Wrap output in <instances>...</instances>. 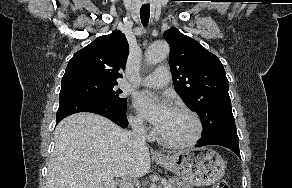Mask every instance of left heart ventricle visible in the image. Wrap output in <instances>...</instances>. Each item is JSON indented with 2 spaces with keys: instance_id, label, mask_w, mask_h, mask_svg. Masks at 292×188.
<instances>
[{
  "instance_id": "1",
  "label": "left heart ventricle",
  "mask_w": 292,
  "mask_h": 188,
  "mask_svg": "<svg viewBox=\"0 0 292 188\" xmlns=\"http://www.w3.org/2000/svg\"><path fill=\"white\" fill-rule=\"evenodd\" d=\"M195 132V124L192 118L178 110L173 109L159 133L171 141H184Z\"/></svg>"
}]
</instances>
